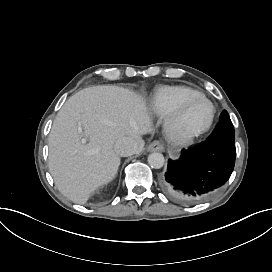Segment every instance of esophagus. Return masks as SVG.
Wrapping results in <instances>:
<instances>
[{"label":"esophagus","instance_id":"1","mask_svg":"<svg viewBox=\"0 0 272 272\" xmlns=\"http://www.w3.org/2000/svg\"><path fill=\"white\" fill-rule=\"evenodd\" d=\"M164 150H165L164 143L160 140H155L148 146L149 152L154 151L163 152Z\"/></svg>","mask_w":272,"mask_h":272}]
</instances>
